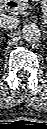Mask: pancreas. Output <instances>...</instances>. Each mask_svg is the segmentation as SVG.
Returning a JSON list of instances; mask_svg holds the SVG:
<instances>
[{"label": "pancreas", "mask_w": 47, "mask_h": 129, "mask_svg": "<svg viewBox=\"0 0 47 129\" xmlns=\"http://www.w3.org/2000/svg\"><path fill=\"white\" fill-rule=\"evenodd\" d=\"M19 1H20V3L22 4V7H23V8H27V3L23 2V0H19Z\"/></svg>", "instance_id": "pancreas-1"}]
</instances>
